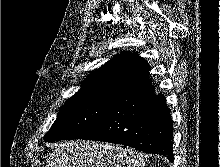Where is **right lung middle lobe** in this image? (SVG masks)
I'll use <instances>...</instances> for the list:
<instances>
[{"instance_id":"obj_1","label":"right lung middle lobe","mask_w":220,"mask_h":167,"mask_svg":"<svg viewBox=\"0 0 220 167\" xmlns=\"http://www.w3.org/2000/svg\"><path fill=\"white\" fill-rule=\"evenodd\" d=\"M113 101L106 97L69 99L60 108L44 140L54 142L81 139L104 118Z\"/></svg>"}]
</instances>
